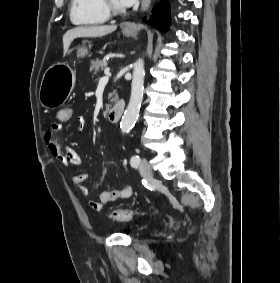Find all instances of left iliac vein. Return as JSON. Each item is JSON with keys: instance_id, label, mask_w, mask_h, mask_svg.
Segmentation results:
<instances>
[{"instance_id": "left-iliac-vein-1", "label": "left iliac vein", "mask_w": 280, "mask_h": 283, "mask_svg": "<svg viewBox=\"0 0 280 283\" xmlns=\"http://www.w3.org/2000/svg\"><path fill=\"white\" fill-rule=\"evenodd\" d=\"M139 171L142 177L150 179L153 176L152 169L146 159H142L139 164Z\"/></svg>"}]
</instances>
